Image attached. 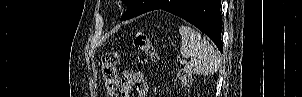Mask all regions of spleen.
<instances>
[{
  "instance_id": "spleen-1",
  "label": "spleen",
  "mask_w": 302,
  "mask_h": 97,
  "mask_svg": "<svg viewBox=\"0 0 302 97\" xmlns=\"http://www.w3.org/2000/svg\"><path fill=\"white\" fill-rule=\"evenodd\" d=\"M180 54L187 59L184 71L189 74L210 75L220 67V55L202 35L189 26L179 28Z\"/></svg>"
}]
</instances>
